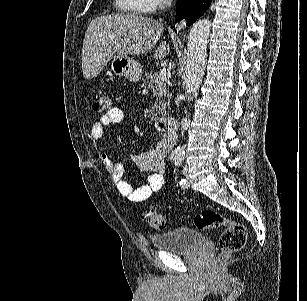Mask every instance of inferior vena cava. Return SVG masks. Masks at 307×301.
I'll return each instance as SVG.
<instances>
[{
  "instance_id": "602c4592",
  "label": "inferior vena cava",
  "mask_w": 307,
  "mask_h": 301,
  "mask_svg": "<svg viewBox=\"0 0 307 301\" xmlns=\"http://www.w3.org/2000/svg\"><path fill=\"white\" fill-rule=\"evenodd\" d=\"M172 0H162L161 4H159V8H166V6H170ZM187 118H181V124H184L186 122ZM181 134L183 136L184 130L183 126H181Z\"/></svg>"
}]
</instances>
